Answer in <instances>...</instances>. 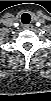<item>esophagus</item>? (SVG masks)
<instances>
[{
    "instance_id": "obj_1",
    "label": "esophagus",
    "mask_w": 51,
    "mask_h": 101,
    "mask_svg": "<svg viewBox=\"0 0 51 101\" xmlns=\"http://www.w3.org/2000/svg\"><path fill=\"white\" fill-rule=\"evenodd\" d=\"M32 28H33V26L31 24H24L23 25V29H25V30H30Z\"/></svg>"
}]
</instances>
